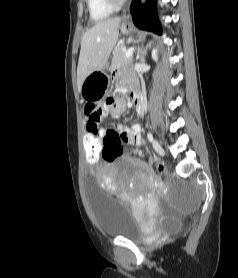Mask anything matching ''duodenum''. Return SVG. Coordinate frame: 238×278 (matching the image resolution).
Listing matches in <instances>:
<instances>
[{
  "label": "duodenum",
  "mask_w": 238,
  "mask_h": 278,
  "mask_svg": "<svg viewBox=\"0 0 238 278\" xmlns=\"http://www.w3.org/2000/svg\"><path fill=\"white\" fill-rule=\"evenodd\" d=\"M132 98H133V104L135 106L136 111L140 113L142 109V105H141V99L138 91L134 90Z\"/></svg>",
  "instance_id": "obj_1"
}]
</instances>
